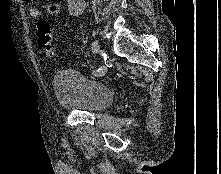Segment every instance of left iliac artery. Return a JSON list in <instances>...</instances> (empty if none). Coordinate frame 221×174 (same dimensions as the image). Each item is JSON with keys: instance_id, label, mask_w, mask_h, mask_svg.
Here are the masks:
<instances>
[{"instance_id": "1", "label": "left iliac artery", "mask_w": 221, "mask_h": 174, "mask_svg": "<svg viewBox=\"0 0 221 174\" xmlns=\"http://www.w3.org/2000/svg\"><path fill=\"white\" fill-rule=\"evenodd\" d=\"M107 72V65H102L94 73L98 76H103Z\"/></svg>"}]
</instances>
